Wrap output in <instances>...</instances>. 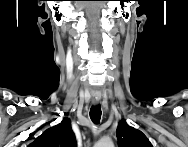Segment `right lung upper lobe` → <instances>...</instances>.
I'll return each instance as SVG.
<instances>
[{"label":"right lung upper lobe","mask_w":188,"mask_h":147,"mask_svg":"<svg viewBox=\"0 0 188 147\" xmlns=\"http://www.w3.org/2000/svg\"><path fill=\"white\" fill-rule=\"evenodd\" d=\"M75 135L68 118L47 129L32 144V147H76Z\"/></svg>","instance_id":"obj_1"}]
</instances>
